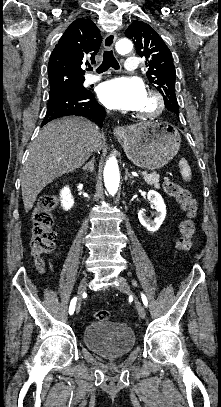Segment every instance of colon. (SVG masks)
<instances>
[{"instance_id":"1","label":"colon","mask_w":221,"mask_h":407,"mask_svg":"<svg viewBox=\"0 0 221 407\" xmlns=\"http://www.w3.org/2000/svg\"><path fill=\"white\" fill-rule=\"evenodd\" d=\"M164 191L174 198L183 210V218L179 224V236L176 241L177 253H184L190 249L192 239L195 235L194 219L197 214V202L190 191L179 184L165 180L163 182ZM58 203V197L45 195L39 199L38 205L33 214V238L31 242L32 253L37 260L38 269H42V256L51 252L55 246L56 233L53 230L52 210ZM111 313L108 310H100L97 319L107 321Z\"/></svg>"}]
</instances>
